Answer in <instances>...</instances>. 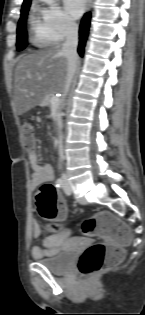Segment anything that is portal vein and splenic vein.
<instances>
[{"label":"portal vein and splenic vein","instance_id":"18ae733b","mask_svg":"<svg viewBox=\"0 0 145 315\" xmlns=\"http://www.w3.org/2000/svg\"><path fill=\"white\" fill-rule=\"evenodd\" d=\"M58 102H59L58 97L53 96V97L51 98V104H52V105H57V104H58Z\"/></svg>","mask_w":145,"mask_h":315}]
</instances>
